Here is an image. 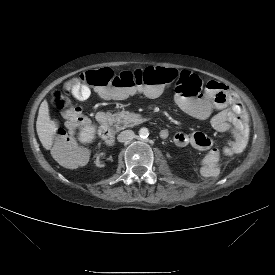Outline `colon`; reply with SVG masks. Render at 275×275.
<instances>
[{"instance_id":"5ec220e1","label":"colon","mask_w":275,"mask_h":275,"mask_svg":"<svg viewBox=\"0 0 275 275\" xmlns=\"http://www.w3.org/2000/svg\"><path fill=\"white\" fill-rule=\"evenodd\" d=\"M170 86H173L176 92L187 90L196 94L202 89L203 83L197 75L189 71L172 68L147 67L133 73L123 71L118 74L109 68H103L80 73L71 80L70 85L65 86L64 92L55 93L52 104L60 110H76V104L66 95L71 91L74 99L84 101L91 94L90 87L97 88L99 94L107 100L122 99L136 102L142 96L156 98L161 95L164 87ZM79 121L80 118H74L71 125L76 127ZM71 147V137L60 130L56 148L67 151ZM222 151L226 155L233 154L229 141Z\"/></svg>"}]
</instances>
